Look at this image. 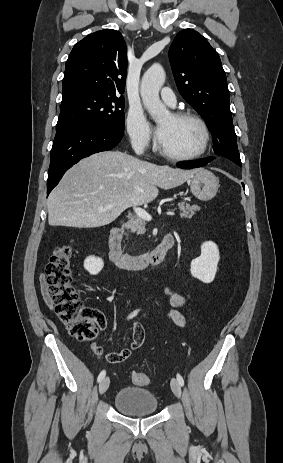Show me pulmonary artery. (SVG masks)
<instances>
[{
    "instance_id": "obj_1",
    "label": "pulmonary artery",
    "mask_w": 283,
    "mask_h": 463,
    "mask_svg": "<svg viewBox=\"0 0 283 463\" xmlns=\"http://www.w3.org/2000/svg\"><path fill=\"white\" fill-rule=\"evenodd\" d=\"M161 98L170 107H174L176 105V96L173 90L169 87L162 88Z\"/></svg>"
}]
</instances>
